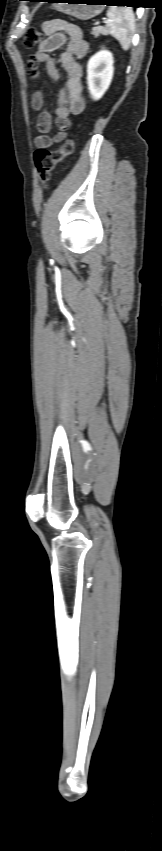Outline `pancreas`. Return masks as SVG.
I'll return each mask as SVG.
<instances>
[{
	"instance_id": "1",
	"label": "pancreas",
	"mask_w": 162,
	"mask_h": 851,
	"mask_svg": "<svg viewBox=\"0 0 162 851\" xmlns=\"http://www.w3.org/2000/svg\"><path fill=\"white\" fill-rule=\"evenodd\" d=\"M91 34H93L95 37H98V36H100L101 34H103V35H107V31H106V29H105L104 27L99 26V27H94V28L92 29Z\"/></svg>"
}]
</instances>
